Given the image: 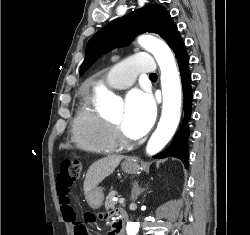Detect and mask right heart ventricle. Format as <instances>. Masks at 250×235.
<instances>
[{
  "label": "right heart ventricle",
  "instance_id": "obj_1",
  "mask_svg": "<svg viewBox=\"0 0 250 235\" xmlns=\"http://www.w3.org/2000/svg\"><path fill=\"white\" fill-rule=\"evenodd\" d=\"M72 135L77 146L87 152L111 153L120 147L113 127L98 112L95 96L81 99L72 122Z\"/></svg>",
  "mask_w": 250,
  "mask_h": 235
}]
</instances>
